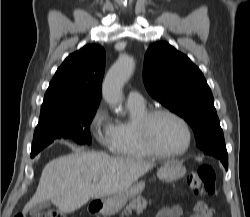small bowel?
<instances>
[{
  "instance_id": "1",
  "label": "small bowel",
  "mask_w": 250,
  "mask_h": 217,
  "mask_svg": "<svg viewBox=\"0 0 250 217\" xmlns=\"http://www.w3.org/2000/svg\"><path fill=\"white\" fill-rule=\"evenodd\" d=\"M181 216H182V208L178 205L161 208L156 214V217H181ZM191 217H202V216L199 214H194Z\"/></svg>"
}]
</instances>
